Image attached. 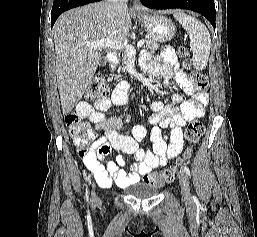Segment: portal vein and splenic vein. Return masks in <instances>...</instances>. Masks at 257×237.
<instances>
[{
    "label": "portal vein and splenic vein",
    "instance_id": "portal-vein-and-splenic-vein-1",
    "mask_svg": "<svg viewBox=\"0 0 257 237\" xmlns=\"http://www.w3.org/2000/svg\"><path fill=\"white\" fill-rule=\"evenodd\" d=\"M144 43V40L139 41L137 47H142ZM86 46L94 50H102L103 48H109L112 50H125V52L131 56L136 54V50L132 45L115 42L109 39H101L94 42H86Z\"/></svg>",
    "mask_w": 257,
    "mask_h": 237
}]
</instances>
